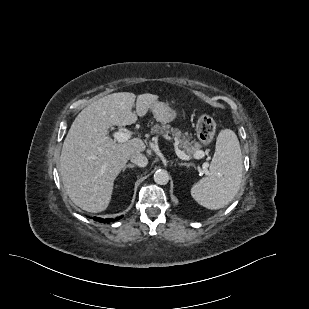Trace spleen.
Masks as SVG:
<instances>
[{
  "label": "spleen",
  "instance_id": "3e777b00",
  "mask_svg": "<svg viewBox=\"0 0 309 309\" xmlns=\"http://www.w3.org/2000/svg\"><path fill=\"white\" fill-rule=\"evenodd\" d=\"M242 173L243 159L239 140L232 130H221L209 172L192 186L191 195L203 207L221 209L237 194Z\"/></svg>",
  "mask_w": 309,
  "mask_h": 309
}]
</instances>
